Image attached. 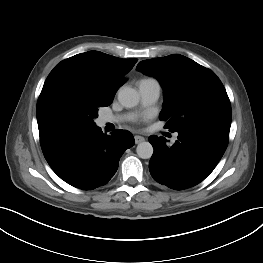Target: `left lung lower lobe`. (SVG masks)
I'll list each match as a JSON object with an SVG mask.
<instances>
[{
  "instance_id": "left-lung-lower-lobe-1",
  "label": "left lung lower lobe",
  "mask_w": 263,
  "mask_h": 263,
  "mask_svg": "<svg viewBox=\"0 0 263 263\" xmlns=\"http://www.w3.org/2000/svg\"><path fill=\"white\" fill-rule=\"evenodd\" d=\"M228 128L204 123L182 129L172 146L162 136L152 135L154 148L149 170L153 179L175 190L193 187L203 181L222 158L229 140Z\"/></svg>"
}]
</instances>
